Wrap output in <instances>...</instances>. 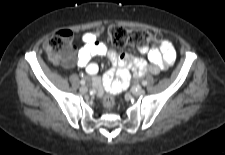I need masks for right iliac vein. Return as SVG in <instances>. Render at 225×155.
<instances>
[{"mask_svg":"<svg viewBox=\"0 0 225 155\" xmlns=\"http://www.w3.org/2000/svg\"><path fill=\"white\" fill-rule=\"evenodd\" d=\"M87 91H88L87 86H81V87H80V92H81L82 94L86 93Z\"/></svg>","mask_w":225,"mask_h":155,"instance_id":"1","label":"right iliac vein"}]
</instances>
